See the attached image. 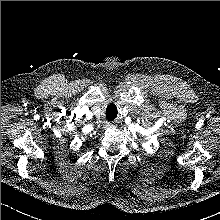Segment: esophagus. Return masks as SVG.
Wrapping results in <instances>:
<instances>
[{
	"mask_svg": "<svg viewBox=\"0 0 220 220\" xmlns=\"http://www.w3.org/2000/svg\"><path fill=\"white\" fill-rule=\"evenodd\" d=\"M108 126H109V127H112V126H113V124H108Z\"/></svg>",
	"mask_w": 220,
	"mask_h": 220,
	"instance_id": "obj_1",
	"label": "esophagus"
}]
</instances>
